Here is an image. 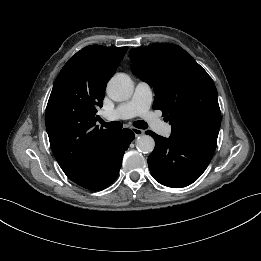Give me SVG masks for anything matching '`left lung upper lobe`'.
Wrapping results in <instances>:
<instances>
[{"instance_id": "obj_1", "label": "left lung upper lobe", "mask_w": 261, "mask_h": 261, "mask_svg": "<svg viewBox=\"0 0 261 261\" xmlns=\"http://www.w3.org/2000/svg\"><path fill=\"white\" fill-rule=\"evenodd\" d=\"M134 75L146 81L172 127V135L215 144L221 124L217 90L207 72L181 47L156 43L134 48L129 55Z\"/></svg>"}]
</instances>
